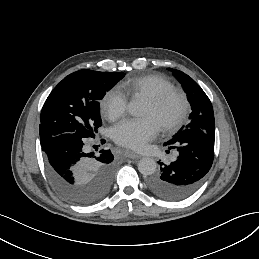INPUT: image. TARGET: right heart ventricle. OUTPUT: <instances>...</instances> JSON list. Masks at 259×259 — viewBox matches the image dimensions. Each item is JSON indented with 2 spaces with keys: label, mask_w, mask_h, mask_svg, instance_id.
<instances>
[{
  "label": "right heart ventricle",
  "mask_w": 259,
  "mask_h": 259,
  "mask_svg": "<svg viewBox=\"0 0 259 259\" xmlns=\"http://www.w3.org/2000/svg\"><path fill=\"white\" fill-rule=\"evenodd\" d=\"M173 89V83L158 75L127 76L115 87V91L125 99L137 94H143L149 99Z\"/></svg>",
  "instance_id": "right-heart-ventricle-1"
}]
</instances>
